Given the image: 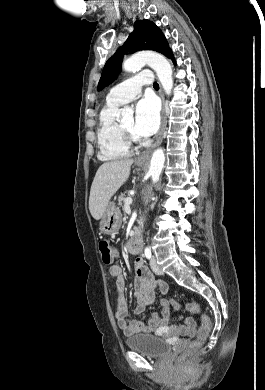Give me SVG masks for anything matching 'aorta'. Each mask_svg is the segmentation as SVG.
Masks as SVG:
<instances>
[{"label": "aorta", "instance_id": "762f6f07", "mask_svg": "<svg viewBox=\"0 0 265 390\" xmlns=\"http://www.w3.org/2000/svg\"><path fill=\"white\" fill-rule=\"evenodd\" d=\"M146 64L155 70L165 93L170 95L173 88L172 67L163 55L155 52L137 53L123 62V69L126 72H134ZM133 113L134 111L130 107L121 109L122 121L133 120ZM164 162V150L162 148L156 149L152 155L149 169L153 183L159 180Z\"/></svg>", "mask_w": 265, "mask_h": 390}]
</instances>
